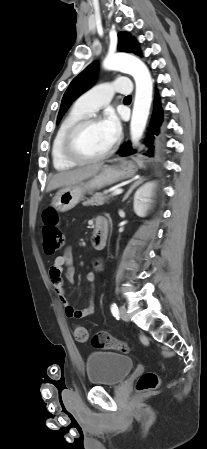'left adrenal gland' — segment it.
Instances as JSON below:
<instances>
[{
  "label": "left adrenal gland",
  "mask_w": 207,
  "mask_h": 449,
  "mask_svg": "<svg viewBox=\"0 0 207 449\" xmlns=\"http://www.w3.org/2000/svg\"><path fill=\"white\" fill-rule=\"evenodd\" d=\"M145 179L143 177L138 178L134 183L131 184L130 188L128 189L127 193L125 194V196L123 197L122 202H124L129 195L132 193V191L139 186L141 183H143Z\"/></svg>",
  "instance_id": "a2214340"
}]
</instances>
